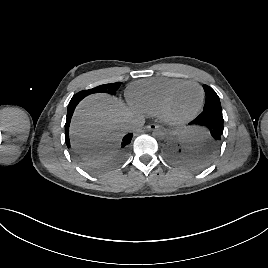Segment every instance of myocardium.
Wrapping results in <instances>:
<instances>
[{
    "instance_id": "myocardium-1",
    "label": "myocardium",
    "mask_w": 268,
    "mask_h": 268,
    "mask_svg": "<svg viewBox=\"0 0 268 268\" xmlns=\"http://www.w3.org/2000/svg\"><path fill=\"white\" fill-rule=\"evenodd\" d=\"M186 86H195L199 89V92H200L199 103H198L197 107L190 114H188L186 116H182V117H173L169 113L170 103H171L173 97L176 95V93ZM203 103H204V90H203L202 86L196 82H193V81H186V82H183V83L175 86L167 93V95L165 96V98L162 101L160 111H159V116L163 122H165L169 125L180 126V125H183V124L191 121L193 118H195L197 116V114L199 113V111L201 110Z\"/></svg>"
}]
</instances>
